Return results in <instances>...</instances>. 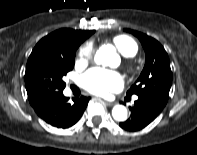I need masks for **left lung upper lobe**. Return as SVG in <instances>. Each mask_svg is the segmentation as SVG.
<instances>
[{
  "label": "left lung upper lobe",
  "instance_id": "1",
  "mask_svg": "<svg viewBox=\"0 0 197 155\" xmlns=\"http://www.w3.org/2000/svg\"><path fill=\"white\" fill-rule=\"evenodd\" d=\"M141 41L146 54L144 69L136 83L128 90L127 95L149 99L165 106L172 84L170 61L163 46L146 34L126 29Z\"/></svg>",
  "mask_w": 197,
  "mask_h": 155
}]
</instances>
